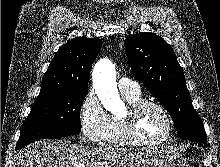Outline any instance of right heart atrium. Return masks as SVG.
Wrapping results in <instances>:
<instances>
[{
	"instance_id": "right-heart-atrium-1",
	"label": "right heart atrium",
	"mask_w": 220,
	"mask_h": 167,
	"mask_svg": "<svg viewBox=\"0 0 220 167\" xmlns=\"http://www.w3.org/2000/svg\"><path fill=\"white\" fill-rule=\"evenodd\" d=\"M79 122L82 137L87 143L100 144L104 141L109 126V115L92 89L87 91L81 101Z\"/></svg>"
}]
</instances>
